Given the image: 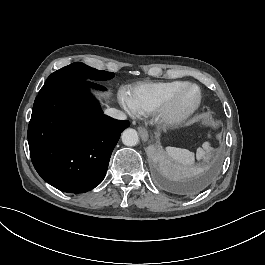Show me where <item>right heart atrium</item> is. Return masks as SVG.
Instances as JSON below:
<instances>
[{"label": "right heart atrium", "instance_id": "1", "mask_svg": "<svg viewBox=\"0 0 265 265\" xmlns=\"http://www.w3.org/2000/svg\"><path fill=\"white\" fill-rule=\"evenodd\" d=\"M119 109L124 116H130L133 113V108L129 104L128 94L125 91H120L117 94Z\"/></svg>", "mask_w": 265, "mask_h": 265}]
</instances>
